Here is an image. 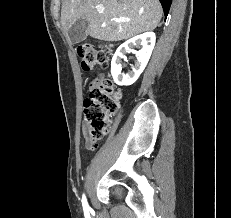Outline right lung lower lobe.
Instances as JSON below:
<instances>
[{"instance_id":"right-lung-lower-lobe-1","label":"right lung lower lobe","mask_w":231,"mask_h":218,"mask_svg":"<svg viewBox=\"0 0 231 218\" xmlns=\"http://www.w3.org/2000/svg\"><path fill=\"white\" fill-rule=\"evenodd\" d=\"M159 1L161 2L165 16H167L169 9H170V5L172 3V0H159Z\"/></svg>"}]
</instances>
